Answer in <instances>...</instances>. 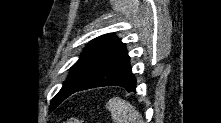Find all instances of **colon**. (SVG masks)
Listing matches in <instances>:
<instances>
[{"label": "colon", "mask_w": 221, "mask_h": 123, "mask_svg": "<svg viewBox=\"0 0 221 123\" xmlns=\"http://www.w3.org/2000/svg\"><path fill=\"white\" fill-rule=\"evenodd\" d=\"M65 122L66 123H86L85 121L80 120L76 117H71V118L67 119Z\"/></svg>", "instance_id": "5ec220e1"}]
</instances>
